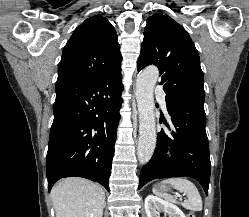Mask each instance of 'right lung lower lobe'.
Here are the masks:
<instances>
[{"label": "right lung lower lobe", "instance_id": "right-lung-lower-lobe-1", "mask_svg": "<svg viewBox=\"0 0 249 217\" xmlns=\"http://www.w3.org/2000/svg\"><path fill=\"white\" fill-rule=\"evenodd\" d=\"M121 80L120 70L95 81L56 84L46 158L49 191L60 178L70 176L98 182L109 191Z\"/></svg>", "mask_w": 249, "mask_h": 217}]
</instances>
